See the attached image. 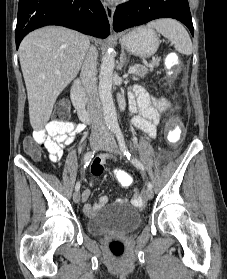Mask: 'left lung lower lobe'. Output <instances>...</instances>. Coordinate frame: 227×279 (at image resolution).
Returning <instances> with one entry per match:
<instances>
[{"label":"left lung lower lobe","instance_id":"0a47b994","mask_svg":"<svg viewBox=\"0 0 227 279\" xmlns=\"http://www.w3.org/2000/svg\"><path fill=\"white\" fill-rule=\"evenodd\" d=\"M167 17L179 20L194 34L188 0H131L117 7L113 27L116 32H120Z\"/></svg>","mask_w":227,"mask_h":279}]
</instances>
